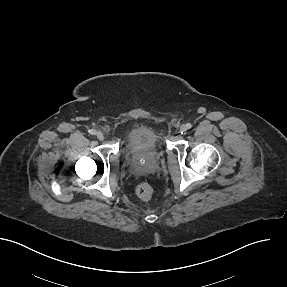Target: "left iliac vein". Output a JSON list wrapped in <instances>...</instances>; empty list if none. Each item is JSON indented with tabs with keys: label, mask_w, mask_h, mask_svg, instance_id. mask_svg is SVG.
Wrapping results in <instances>:
<instances>
[{
	"label": "left iliac vein",
	"mask_w": 287,
	"mask_h": 287,
	"mask_svg": "<svg viewBox=\"0 0 287 287\" xmlns=\"http://www.w3.org/2000/svg\"><path fill=\"white\" fill-rule=\"evenodd\" d=\"M180 131L182 132V133H185L186 131H187V126L186 125H181L180 126Z\"/></svg>",
	"instance_id": "left-iliac-vein-1"
}]
</instances>
